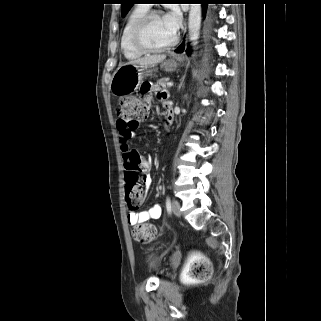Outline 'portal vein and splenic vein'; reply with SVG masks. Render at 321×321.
<instances>
[{"label": "portal vein and splenic vein", "mask_w": 321, "mask_h": 321, "mask_svg": "<svg viewBox=\"0 0 321 321\" xmlns=\"http://www.w3.org/2000/svg\"><path fill=\"white\" fill-rule=\"evenodd\" d=\"M167 86L168 87H172L173 86V82H168Z\"/></svg>", "instance_id": "portal-vein-and-splenic-vein-1"}]
</instances>
